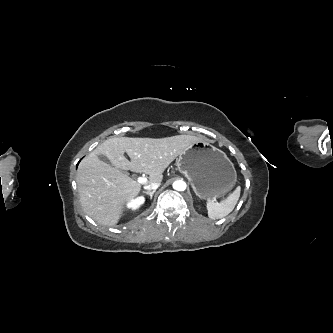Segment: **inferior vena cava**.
Instances as JSON below:
<instances>
[{"label": "inferior vena cava", "instance_id": "inferior-vena-cava-1", "mask_svg": "<svg viewBox=\"0 0 333 333\" xmlns=\"http://www.w3.org/2000/svg\"><path fill=\"white\" fill-rule=\"evenodd\" d=\"M160 182H152L144 186V189L147 191L156 190L160 186Z\"/></svg>", "mask_w": 333, "mask_h": 333}]
</instances>
